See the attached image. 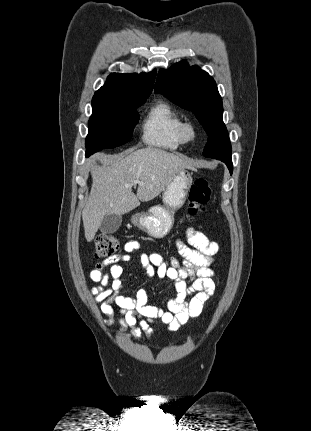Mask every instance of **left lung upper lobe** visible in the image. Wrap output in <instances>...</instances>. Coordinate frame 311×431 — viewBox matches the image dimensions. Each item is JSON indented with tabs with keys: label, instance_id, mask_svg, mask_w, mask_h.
I'll return each mask as SVG.
<instances>
[{
	"label": "left lung upper lobe",
	"instance_id": "1",
	"mask_svg": "<svg viewBox=\"0 0 311 431\" xmlns=\"http://www.w3.org/2000/svg\"><path fill=\"white\" fill-rule=\"evenodd\" d=\"M155 92L195 114L208 136L205 157L221 159L231 155L229 135L222 119V98L208 73L198 66L189 68L186 61H181L159 71Z\"/></svg>",
	"mask_w": 311,
	"mask_h": 431
}]
</instances>
